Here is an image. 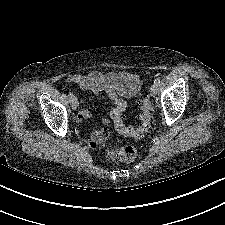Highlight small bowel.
I'll return each mask as SVG.
<instances>
[{
	"label": "small bowel",
	"instance_id": "1",
	"mask_svg": "<svg viewBox=\"0 0 225 225\" xmlns=\"http://www.w3.org/2000/svg\"><path fill=\"white\" fill-rule=\"evenodd\" d=\"M67 82L96 95L105 92L116 104L111 111L112 116L115 112H121L124 109L125 100L137 95L143 84L138 75L127 71L118 73L92 71L87 74H73L67 79ZM90 116L91 112L83 109L77 116V122L80 123ZM90 145L95 146L94 138L90 141Z\"/></svg>",
	"mask_w": 225,
	"mask_h": 225
}]
</instances>
